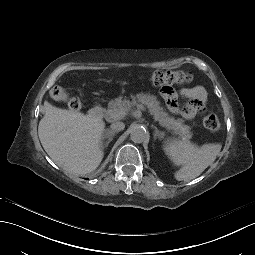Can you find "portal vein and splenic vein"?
<instances>
[{
  "label": "portal vein and splenic vein",
  "mask_w": 255,
  "mask_h": 255,
  "mask_svg": "<svg viewBox=\"0 0 255 255\" xmlns=\"http://www.w3.org/2000/svg\"><path fill=\"white\" fill-rule=\"evenodd\" d=\"M135 109L142 113H145L147 111V108L145 106H142V104H135Z\"/></svg>",
  "instance_id": "1"
}]
</instances>
